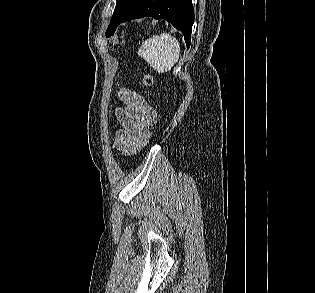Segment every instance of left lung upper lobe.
<instances>
[{
    "instance_id": "1",
    "label": "left lung upper lobe",
    "mask_w": 315,
    "mask_h": 293,
    "mask_svg": "<svg viewBox=\"0 0 315 293\" xmlns=\"http://www.w3.org/2000/svg\"><path fill=\"white\" fill-rule=\"evenodd\" d=\"M139 0H117L114 13L106 31V36L114 34L120 20L138 3Z\"/></svg>"
}]
</instances>
